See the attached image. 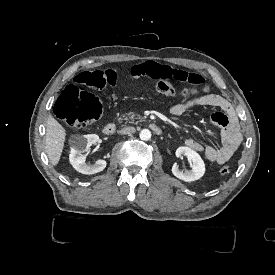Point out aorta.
<instances>
[{
	"label": "aorta",
	"instance_id": "762f6f07",
	"mask_svg": "<svg viewBox=\"0 0 275 275\" xmlns=\"http://www.w3.org/2000/svg\"><path fill=\"white\" fill-rule=\"evenodd\" d=\"M139 136L141 140L148 141L151 138V132L148 129H143L141 130Z\"/></svg>",
	"mask_w": 275,
	"mask_h": 275
}]
</instances>
